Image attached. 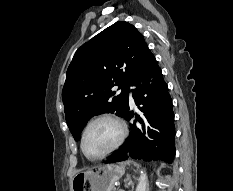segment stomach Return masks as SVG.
Listing matches in <instances>:
<instances>
[{
    "label": "stomach",
    "instance_id": "obj_1",
    "mask_svg": "<svg viewBox=\"0 0 233 191\" xmlns=\"http://www.w3.org/2000/svg\"><path fill=\"white\" fill-rule=\"evenodd\" d=\"M124 171L121 165L108 164L79 172L73 177L71 191H112Z\"/></svg>",
    "mask_w": 233,
    "mask_h": 191
}]
</instances>
